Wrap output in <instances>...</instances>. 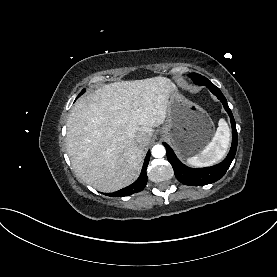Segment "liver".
Returning <instances> with one entry per match:
<instances>
[{"instance_id":"6515ba94","label":"liver","mask_w":277,"mask_h":277,"mask_svg":"<svg viewBox=\"0 0 277 277\" xmlns=\"http://www.w3.org/2000/svg\"><path fill=\"white\" fill-rule=\"evenodd\" d=\"M176 91L168 78L114 82L81 97L67 120V152L76 174L101 192L130 185L138 176L144 147L166 118ZM144 132L145 145L135 136Z\"/></svg>"}]
</instances>
